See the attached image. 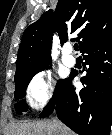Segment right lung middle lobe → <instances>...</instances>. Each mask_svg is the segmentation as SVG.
I'll return each mask as SVG.
<instances>
[{
    "label": "right lung middle lobe",
    "mask_w": 112,
    "mask_h": 135,
    "mask_svg": "<svg viewBox=\"0 0 112 135\" xmlns=\"http://www.w3.org/2000/svg\"><path fill=\"white\" fill-rule=\"evenodd\" d=\"M51 63L45 65L44 67H42L40 70L34 72V73H29V74H22V75H18V76H15V99L16 100H19V99H22L23 97H25L26 95V88L30 82V80L32 79V77L38 73L39 71H42L44 70L45 68H47ZM64 80H59L57 85H56V88H55V91H54V95L52 97V99L50 100L53 101V99L55 98L61 84L63 83ZM49 102V103H50ZM15 109L18 113H22V112H26L27 111V104L26 102L23 100L19 103H17L15 105Z\"/></svg>",
    "instance_id": "dd1d6c3e"
}]
</instances>
